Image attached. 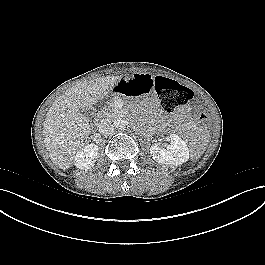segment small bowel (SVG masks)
Segmentation results:
<instances>
[{
    "instance_id": "small-bowel-1",
    "label": "small bowel",
    "mask_w": 265,
    "mask_h": 265,
    "mask_svg": "<svg viewBox=\"0 0 265 265\" xmlns=\"http://www.w3.org/2000/svg\"><path fill=\"white\" fill-rule=\"evenodd\" d=\"M191 109H192V108H191L190 106L184 107V108H182V109L179 111L178 114H179L180 116H185L186 118H188Z\"/></svg>"
}]
</instances>
